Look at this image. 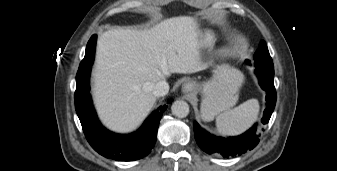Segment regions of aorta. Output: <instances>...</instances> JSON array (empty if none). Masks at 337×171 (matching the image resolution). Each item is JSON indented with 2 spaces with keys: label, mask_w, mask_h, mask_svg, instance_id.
I'll return each instance as SVG.
<instances>
[{
  "label": "aorta",
  "mask_w": 337,
  "mask_h": 171,
  "mask_svg": "<svg viewBox=\"0 0 337 171\" xmlns=\"http://www.w3.org/2000/svg\"><path fill=\"white\" fill-rule=\"evenodd\" d=\"M172 114L178 118H185L189 114V105L183 100H176L171 106Z\"/></svg>",
  "instance_id": "762f6f07"
}]
</instances>
